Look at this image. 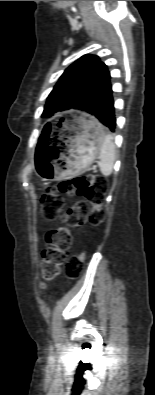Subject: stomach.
Returning a JSON list of instances; mask_svg holds the SVG:
<instances>
[{"label":"stomach","mask_w":155,"mask_h":395,"mask_svg":"<svg viewBox=\"0 0 155 395\" xmlns=\"http://www.w3.org/2000/svg\"><path fill=\"white\" fill-rule=\"evenodd\" d=\"M105 134L99 121L85 113L76 114L62 139L58 158L37 160L36 173L43 180L71 178L84 172L97 157Z\"/></svg>","instance_id":"1"}]
</instances>
